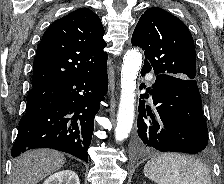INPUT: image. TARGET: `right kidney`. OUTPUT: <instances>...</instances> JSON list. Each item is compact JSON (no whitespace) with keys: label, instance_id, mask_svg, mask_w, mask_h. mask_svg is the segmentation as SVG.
I'll list each match as a JSON object with an SVG mask.
<instances>
[{"label":"right kidney","instance_id":"obj_1","mask_svg":"<svg viewBox=\"0 0 224 184\" xmlns=\"http://www.w3.org/2000/svg\"><path fill=\"white\" fill-rule=\"evenodd\" d=\"M43 184H80V181L74 171L64 170L51 175Z\"/></svg>","mask_w":224,"mask_h":184}]
</instances>
